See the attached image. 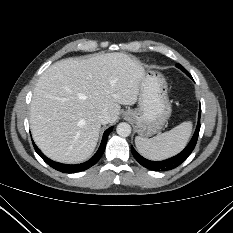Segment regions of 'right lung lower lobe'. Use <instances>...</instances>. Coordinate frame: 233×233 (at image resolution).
Returning <instances> with one entry per match:
<instances>
[{
    "mask_svg": "<svg viewBox=\"0 0 233 233\" xmlns=\"http://www.w3.org/2000/svg\"><path fill=\"white\" fill-rule=\"evenodd\" d=\"M113 127L108 128L104 134H103V138H102V142L101 145L98 149V151L96 152V154L87 162L81 163V164H77V165H67V164H62V163H58L55 161L50 160L49 158H47L38 148L37 146L33 143V146L35 148V151L39 154V156L52 168L63 172V173H76L82 170H86L88 168H90L91 166L95 165L98 160L101 158V156L104 153L105 150V146H106V142L108 139V135L109 133L112 131Z\"/></svg>",
    "mask_w": 233,
    "mask_h": 233,
    "instance_id": "right-lung-lower-lobe-1",
    "label": "right lung lower lobe"
}]
</instances>
